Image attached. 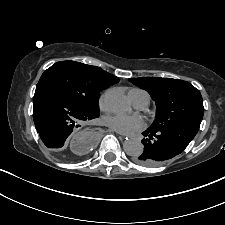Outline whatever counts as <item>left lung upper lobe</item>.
<instances>
[{
  "instance_id": "5c2ea615",
  "label": "left lung upper lobe",
  "mask_w": 225,
  "mask_h": 225,
  "mask_svg": "<svg viewBox=\"0 0 225 225\" xmlns=\"http://www.w3.org/2000/svg\"><path fill=\"white\" fill-rule=\"evenodd\" d=\"M156 102V117L148 128L161 131L183 123H201L204 107L198 89L183 80L144 77L129 79Z\"/></svg>"
}]
</instances>
